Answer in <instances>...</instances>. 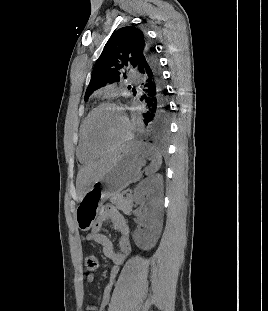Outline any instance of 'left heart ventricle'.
Masks as SVG:
<instances>
[{
    "mask_svg": "<svg viewBox=\"0 0 268 311\" xmlns=\"http://www.w3.org/2000/svg\"><path fill=\"white\" fill-rule=\"evenodd\" d=\"M125 123L122 114L114 108H103L92 118L89 127L91 144L98 150L113 146L123 135Z\"/></svg>",
    "mask_w": 268,
    "mask_h": 311,
    "instance_id": "obj_1",
    "label": "left heart ventricle"
}]
</instances>
